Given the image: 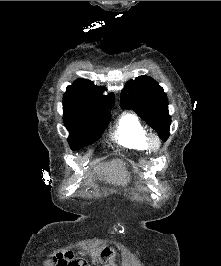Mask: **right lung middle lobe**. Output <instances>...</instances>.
<instances>
[{
  "instance_id": "right-lung-middle-lobe-1",
  "label": "right lung middle lobe",
  "mask_w": 221,
  "mask_h": 266,
  "mask_svg": "<svg viewBox=\"0 0 221 266\" xmlns=\"http://www.w3.org/2000/svg\"><path fill=\"white\" fill-rule=\"evenodd\" d=\"M63 109V120L70 132L68 142L72 150L80 149L98 140L102 136L111 117V114L94 117L81 116L65 108Z\"/></svg>"
}]
</instances>
